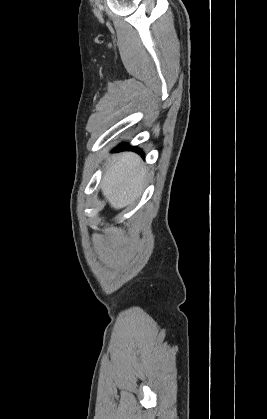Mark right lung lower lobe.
<instances>
[{"label":"right lung lower lobe","mask_w":267,"mask_h":419,"mask_svg":"<svg viewBox=\"0 0 267 419\" xmlns=\"http://www.w3.org/2000/svg\"><path fill=\"white\" fill-rule=\"evenodd\" d=\"M124 149H131V150L136 151L138 153H141L143 155V152L139 148L131 147L130 145H125L123 143L118 145L114 151H121V150H124Z\"/></svg>","instance_id":"1"}]
</instances>
